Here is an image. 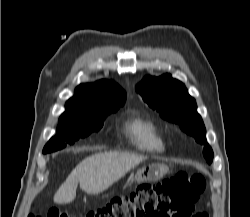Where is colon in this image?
<instances>
[{
    "mask_svg": "<svg viewBox=\"0 0 250 217\" xmlns=\"http://www.w3.org/2000/svg\"><path fill=\"white\" fill-rule=\"evenodd\" d=\"M205 184L201 174L182 172L160 183L141 184L128 195L115 197L83 217H187ZM47 217L72 216L66 211L52 209ZM195 217L208 216L202 212Z\"/></svg>",
    "mask_w": 250,
    "mask_h": 217,
    "instance_id": "5ec220e1",
    "label": "colon"
}]
</instances>
